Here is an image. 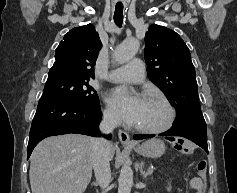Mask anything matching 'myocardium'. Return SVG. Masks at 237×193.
Wrapping results in <instances>:
<instances>
[{
  "label": "myocardium",
  "instance_id": "f54148a6",
  "mask_svg": "<svg viewBox=\"0 0 237 193\" xmlns=\"http://www.w3.org/2000/svg\"><path fill=\"white\" fill-rule=\"evenodd\" d=\"M148 99L159 102L166 109V112H167L166 121L164 124L158 127H142V126L134 125V128L137 131L141 133H145V134H160L169 130L173 126L176 119L175 108L172 106L169 100L162 95L154 94V95L149 96Z\"/></svg>",
  "mask_w": 237,
  "mask_h": 193
}]
</instances>
